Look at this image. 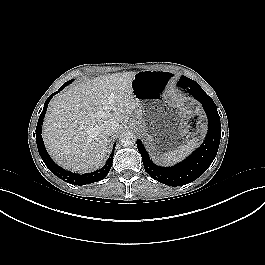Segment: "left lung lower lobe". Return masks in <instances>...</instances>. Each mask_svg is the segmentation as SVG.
Returning <instances> with one entry per match:
<instances>
[{
	"mask_svg": "<svg viewBox=\"0 0 265 265\" xmlns=\"http://www.w3.org/2000/svg\"><path fill=\"white\" fill-rule=\"evenodd\" d=\"M178 86L187 90L203 106L208 117V132L203 144L184 161L172 167L155 165L145 150L142 142L137 140V148L141 154L145 171L155 180L169 185L182 186L200 177L213 162L220 144L221 124L217 107L200 85L185 76L179 80Z\"/></svg>",
	"mask_w": 265,
	"mask_h": 265,
	"instance_id": "left-lung-lower-lobe-1",
	"label": "left lung lower lobe"
}]
</instances>
